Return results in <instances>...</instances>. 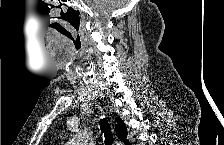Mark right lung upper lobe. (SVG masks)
<instances>
[{
  "instance_id": "1",
  "label": "right lung upper lobe",
  "mask_w": 224,
  "mask_h": 145,
  "mask_svg": "<svg viewBox=\"0 0 224 145\" xmlns=\"http://www.w3.org/2000/svg\"><path fill=\"white\" fill-rule=\"evenodd\" d=\"M116 133L119 139L123 140L125 144H128V141L126 140L127 128L124 122L120 118H118Z\"/></svg>"
}]
</instances>
